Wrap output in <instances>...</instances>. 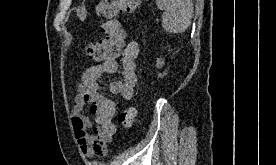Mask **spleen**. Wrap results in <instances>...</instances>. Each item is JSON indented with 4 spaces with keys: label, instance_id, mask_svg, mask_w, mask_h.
Wrapping results in <instances>:
<instances>
[{
    "label": "spleen",
    "instance_id": "obj_1",
    "mask_svg": "<svg viewBox=\"0 0 276 165\" xmlns=\"http://www.w3.org/2000/svg\"><path fill=\"white\" fill-rule=\"evenodd\" d=\"M156 4L165 11L162 16L165 31L174 34L186 31L193 16L192 0H156Z\"/></svg>",
    "mask_w": 276,
    "mask_h": 165
}]
</instances>
